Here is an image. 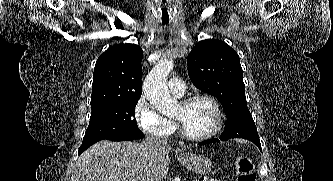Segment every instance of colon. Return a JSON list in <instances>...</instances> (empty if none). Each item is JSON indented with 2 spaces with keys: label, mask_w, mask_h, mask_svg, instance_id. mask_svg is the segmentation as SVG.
<instances>
[{
  "label": "colon",
  "mask_w": 333,
  "mask_h": 181,
  "mask_svg": "<svg viewBox=\"0 0 333 181\" xmlns=\"http://www.w3.org/2000/svg\"><path fill=\"white\" fill-rule=\"evenodd\" d=\"M237 181H256L254 166L250 157L241 155L234 160Z\"/></svg>",
  "instance_id": "1"
}]
</instances>
